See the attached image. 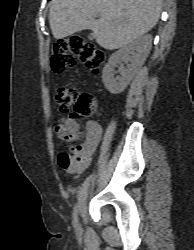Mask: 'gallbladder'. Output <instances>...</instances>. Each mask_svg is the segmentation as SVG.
<instances>
[{
  "instance_id": "obj_1",
  "label": "gallbladder",
  "mask_w": 194,
  "mask_h": 250,
  "mask_svg": "<svg viewBox=\"0 0 194 250\" xmlns=\"http://www.w3.org/2000/svg\"><path fill=\"white\" fill-rule=\"evenodd\" d=\"M88 38H89V39H92V38H93V34H90V35L88 36Z\"/></svg>"
}]
</instances>
